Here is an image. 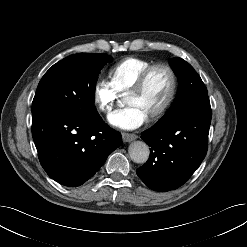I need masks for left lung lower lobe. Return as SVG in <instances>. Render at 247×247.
<instances>
[{
    "label": "left lung lower lobe",
    "instance_id": "0a47b994",
    "mask_svg": "<svg viewBox=\"0 0 247 247\" xmlns=\"http://www.w3.org/2000/svg\"><path fill=\"white\" fill-rule=\"evenodd\" d=\"M210 123L208 94H201L142 132L150 157L137 169L140 179L159 192L182 186L205 158Z\"/></svg>",
    "mask_w": 247,
    "mask_h": 247
}]
</instances>
